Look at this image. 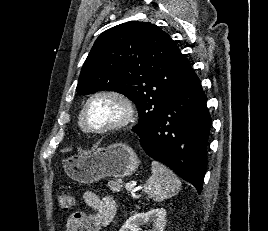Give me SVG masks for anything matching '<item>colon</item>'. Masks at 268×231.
I'll return each instance as SVG.
<instances>
[{
	"mask_svg": "<svg viewBox=\"0 0 268 231\" xmlns=\"http://www.w3.org/2000/svg\"><path fill=\"white\" fill-rule=\"evenodd\" d=\"M75 203V196L71 193L62 192L58 195V207L62 213L70 212Z\"/></svg>",
	"mask_w": 268,
	"mask_h": 231,
	"instance_id": "obj_1",
	"label": "colon"
}]
</instances>
